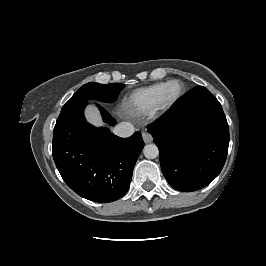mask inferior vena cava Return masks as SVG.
I'll return each instance as SVG.
<instances>
[{
    "label": "inferior vena cava",
    "mask_w": 266,
    "mask_h": 266,
    "mask_svg": "<svg viewBox=\"0 0 266 266\" xmlns=\"http://www.w3.org/2000/svg\"><path fill=\"white\" fill-rule=\"evenodd\" d=\"M134 131L133 124L129 122H121L113 129V133L122 138L130 137Z\"/></svg>",
    "instance_id": "602c4592"
}]
</instances>
